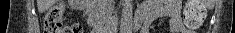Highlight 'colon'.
Here are the masks:
<instances>
[{"mask_svg":"<svg viewBox=\"0 0 235 33\" xmlns=\"http://www.w3.org/2000/svg\"><path fill=\"white\" fill-rule=\"evenodd\" d=\"M65 8L63 4L52 7L44 18V33H81L78 24L63 23ZM205 17V8L199 0H187L183 9V19L187 28H198Z\"/></svg>","mask_w":235,"mask_h":33,"instance_id":"obj_1","label":"colon"}]
</instances>
